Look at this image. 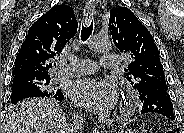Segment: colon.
Returning a JSON list of instances; mask_svg holds the SVG:
<instances>
[{
  "label": "colon",
  "mask_w": 184,
  "mask_h": 133,
  "mask_svg": "<svg viewBox=\"0 0 184 133\" xmlns=\"http://www.w3.org/2000/svg\"><path fill=\"white\" fill-rule=\"evenodd\" d=\"M167 132H169V133H173V131H167Z\"/></svg>",
  "instance_id": "colon-1"
}]
</instances>
